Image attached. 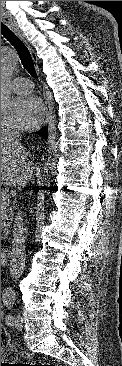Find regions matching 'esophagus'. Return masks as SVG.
<instances>
[{"instance_id": "obj_1", "label": "esophagus", "mask_w": 122, "mask_h": 366, "mask_svg": "<svg viewBox=\"0 0 122 366\" xmlns=\"http://www.w3.org/2000/svg\"><path fill=\"white\" fill-rule=\"evenodd\" d=\"M1 21L6 23L20 38L24 39L18 28L14 25L12 20H10L7 16L4 14H1ZM31 56L35 63H37V57L34 53V50L30 48ZM44 99H45V121L44 124H49L53 119V106L51 104L50 98L47 95L46 92H44Z\"/></svg>"}]
</instances>
